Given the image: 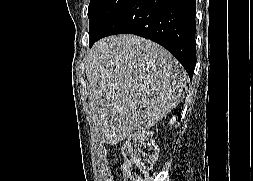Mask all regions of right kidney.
I'll use <instances>...</instances> for the list:
<instances>
[{"instance_id":"obj_1","label":"right kidney","mask_w":253,"mask_h":181,"mask_svg":"<svg viewBox=\"0 0 253 181\" xmlns=\"http://www.w3.org/2000/svg\"><path fill=\"white\" fill-rule=\"evenodd\" d=\"M175 121H176V118L175 117H173L171 120H170V125H172V124H174L175 123Z\"/></svg>"}]
</instances>
